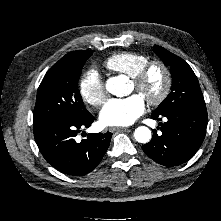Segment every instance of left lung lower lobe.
Returning a JSON list of instances; mask_svg holds the SVG:
<instances>
[{
	"label": "left lung lower lobe",
	"mask_w": 221,
	"mask_h": 221,
	"mask_svg": "<svg viewBox=\"0 0 221 221\" xmlns=\"http://www.w3.org/2000/svg\"><path fill=\"white\" fill-rule=\"evenodd\" d=\"M152 119L167 118L160 123L162 134L153 132L152 140L143 145V151L166 167L189 160L200 148L206 132L207 110L200 107L179 108L163 114L152 113ZM159 129V128H158Z\"/></svg>",
	"instance_id": "obj_1"
}]
</instances>
